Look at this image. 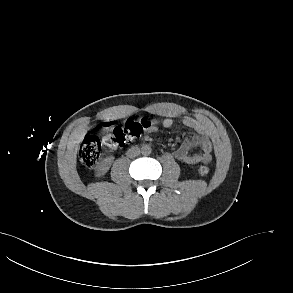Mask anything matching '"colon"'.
<instances>
[{
  "instance_id": "colon-1",
  "label": "colon",
  "mask_w": 293,
  "mask_h": 293,
  "mask_svg": "<svg viewBox=\"0 0 293 293\" xmlns=\"http://www.w3.org/2000/svg\"><path fill=\"white\" fill-rule=\"evenodd\" d=\"M152 125L153 123L149 119H128L122 127L111 129V131L102 138L95 135L86 136L79 149L80 161L87 168H94L98 163L103 146H124L134 139L139 138L146 130L150 129ZM105 127L111 128V124L106 123ZM208 173L209 168L207 166L199 167V175L204 176Z\"/></svg>"
}]
</instances>
